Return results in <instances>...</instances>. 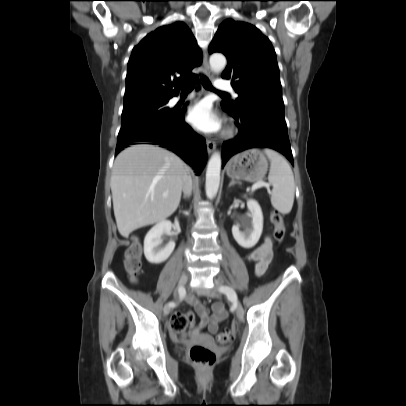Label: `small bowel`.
<instances>
[{"label": "small bowel", "instance_id": "1", "mask_svg": "<svg viewBox=\"0 0 406 406\" xmlns=\"http://www.w3.org/2000/svg\"><path fill=\"white\" fill-rule=\"evenodd\" d=\"M273 257L272 241L269 236L263 239L260 246L249 252L246 256L247 260L255 262V274L262 276ZM186 301L191 304L200 316V323L194 330L195 334H199L203 328H207L211 334L217 332L219 324L227 317V312L222 302H214L211 306L213 314L210 315L209 310L193 295H188ZM174 336L177 332L172 330Z\"/></svg>", "mask_w": 406, "mask_h": 406}]
</instances>
